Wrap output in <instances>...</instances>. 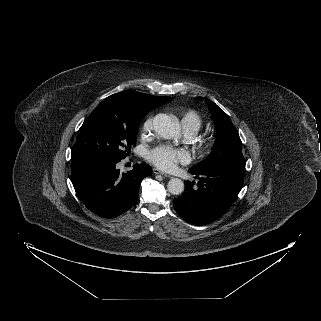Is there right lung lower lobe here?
<instances>
[{"mask_svg":"<svg viewBox=\"0 0 321 321\" xmlns=\"http://www.w3.org/2000/svg\"><path fill=\"white\" fill-rule=\"evenodd\" d=\"M117 162L85 158L71 161L74 189L82 203L94 214L115 218L138 199L141 181L152 174L147 164H136L127 173L116 169Z\"/></svg>","mask_w":321,"mask_h":321,"instance_id":"98d812e1","label":"right lung lower lobe"}]
</instances>
